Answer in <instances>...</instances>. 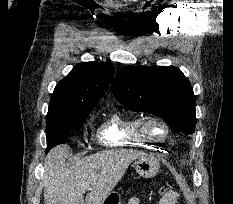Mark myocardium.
<instances>
[{
    "mask_svg": "<svg viewBox=\"0 0 233 204\" xmlns=\"http://www.w3.org/2000/svg\"><path fill=\"white\" fill-rule=\"evenodd\" d=\"M152 124L159 125L163 129L161 135H155L150 131L149 127ZM138 131L144 138L156 142L164 141L170 135V127L168 123L163 118L152 114L144 115L139 118Z\"/></svg>",
    "mask_w": 233,
    "mask_h": 204,
    "instance_id": "1",
    "label": "myocardium"
}]
</instances>
